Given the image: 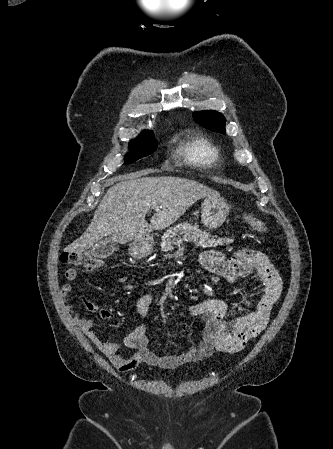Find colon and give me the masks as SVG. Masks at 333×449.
I'll use <instances>...</instances> for the list:
<instances>
[{"instance_id": "colon-1", "label": "colon", "mask_w": 333, "mask_h": 449, "mask_svg": "<svg viewBox=\"0 0 333 449\" xmlns=\"http://www.w3.org/2000/svg\"><path fill=\"white\" fill-rule=\"evenodd\" d=\"M244 218L254 231L262 234L268 233L267 225L257 217L251 214H245ZM60 260L62 263L73 266H80L88 271L96 270L103 264V260L100 257L86 251L77 250H71L62 253Z\"/></svg>"}]
</instances>
